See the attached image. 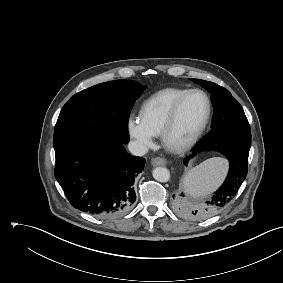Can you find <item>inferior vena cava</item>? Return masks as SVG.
Returning <instances> with one entry per match:
<instances>
[{
    "label": "inferior vena cava",
    "mask_w": 283,
    "mask_h": 283,
    "mask_svg": "<svg viewBox=\"0 0 283 283\" xmlns=\"http://www.w3.org/2000/svg\"><path fill=\"white\" fill-rule=\"evenodd\" d=\"M129 151L136 156H143L148 152L147 147L138 141H131L128 144Z\"/></svg>",
    "instance_id": "obj_1"
}]
</instances>
